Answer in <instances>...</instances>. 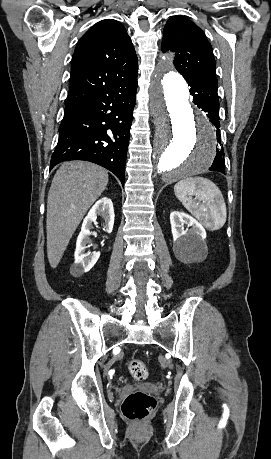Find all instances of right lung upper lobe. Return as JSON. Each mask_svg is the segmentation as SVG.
<instances>
[{"instance_id":"1","label":"right lung upper lobe","mask_w":271,"mask_h":459,"mask_svg":"<svg viewBox=\"0 0 271 459\" xmlns=\"http://www.w3.org/2000/svg\"><path fill=\"white\" fill-rule=\"evenodd\" d=\"M137 74V56L125 27L113 19L96 23L74 51L65 111Z\"/></svg>"}]
</instances>
